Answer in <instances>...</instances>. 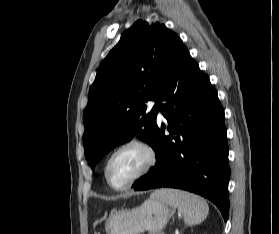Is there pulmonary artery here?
Listing matches in <instances>:
<instances>
[{"instance_id":"obj_1","label":"pulmonary artery","mask_w":279,"mask_h":234,"mask_svg":"<svg viewBox=\"0 0 279 234\" xmlns=\"http://www.w3.org/2000/svg\"><path fill=\"white\" fill-rule=\"evenodd\" d=\"M149 107L152 108V107H158L159 108V112H158V116L159 118H161V110H160V103H156L154 101H151L149 103Z\"/></svg>"}]
</instances>
